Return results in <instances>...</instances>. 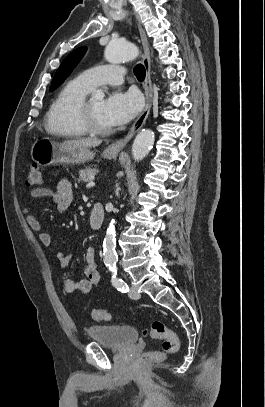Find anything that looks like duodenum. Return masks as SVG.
<instances>
[{
    "instance_id": "1",
    "label": "duodenum",
    "mask_w": 265,
    "mask_h": 407,
    "mask_svg": "<svg viewBox=\"0 0 265 407\" xmlns=\"http://www.w3.org/2000/svg\"><path fill=\"white\" fill-rule=\"evenodd\" d=\"M90 225L93 228H100L105 219V210L102 204L96 203L90 210Z\"/></svg>"
}]
</instances>
